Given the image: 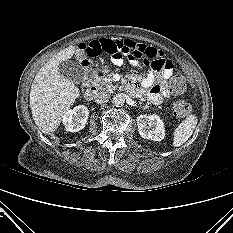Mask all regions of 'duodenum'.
I'll use <instances>...</instances> for the list:
<instances>
[{
  "label": "duodenum",
  "instance_id": "1",
  "mask_svg": "<svg viewBox=\"0 0 233 233\" xmlns=\"http://www.w3.org/2000/svg\"><path fill=\"white\" fill-rule=\"evenodd\" d=\"M102 74L98 71L95 72L94 74V82L93 84H91L86 90H85V93H84V96L86 99L88 100H91L93 99L96 94H97V91H98V88H97V85L95 83V81L101 76Z\"/></svg>",
  "mask_w": 233,
  "mask_h": 233
}]
</instances>
